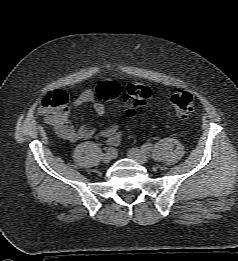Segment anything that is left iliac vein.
I'll return each instance as SVG.
<instances>
[{
  "label": "left iliac vein",
  "mask_w": 238,
  "mask_h": 261,
  "mask_svg": "<svg viewBox=\"0 0 238 261\" xmlns=\"http://www.w3.org/2000/svg\"><path fill=\"white\" fill-rule=\"evenodd\" d=\"M128 157L132 158L140 164H145L148 162V156L141 150L137 148H131L127 152Z\"/></svg>",
  "instance_id": "4c4485c4"
}]
</instances>
